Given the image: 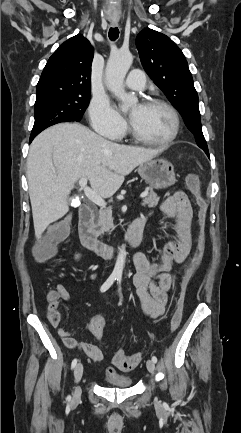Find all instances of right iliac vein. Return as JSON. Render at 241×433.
Instances as JSON below:
<instances>
[{
    "label": "right iliac vein",
    "mask_w": 241,
    "mask_h": 433,
    "mask_svg": "<svg viewBox=\"0 0 241 433\" xmlns=\"http://www.w3.org/2000/svg\"><path fill=\"white\" fill-rule=\"evenodd\" d=\"M82 375H83V365L82 363H78L74 369V378H75L76 386L72 397L73 402H78L81 398V388L79 386V382L82 378Z\"/></svg>",
    "instance_id": "obj_1"
}]
</instances>
